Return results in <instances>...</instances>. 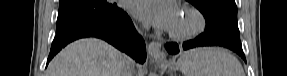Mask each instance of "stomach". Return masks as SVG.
Listing matches in <instances>:
<instances>
[{"instance_id":"1","label":"stomach","mask_w":287,"mask_h":76,"mask_svg":"<svg viewBox=\"0 0 287 76\" xmlns=\"http://www.w3.org/2000/svg\"><path fill=\"white\" fill-rule=\"evenodd\" d=\"M167 66L169 67L170 70L172 71H176V70H179L180 69V65L179 63H175V62H169L167 63Z\"/></svg>"}]
</instances>
